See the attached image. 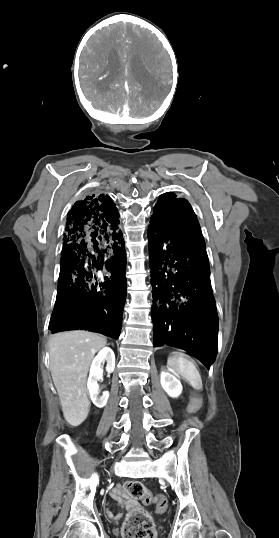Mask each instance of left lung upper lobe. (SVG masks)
I'll use <instances>...</instances> for the list:
<instances>
[{
    "label": "left lung upper lobe",
    "mask_w": 279,
    "mask_h": 538,
    "mask_svg": "<svg viewBox=\"0 0 279 538\" xmlns=\"http://www.w3.org/2000/svg\"><path fill=\"white\" fill-rule=\"evenodd\" d=\"M149 226L202 236L199 222L189 202L184 198H177L172 192L160 196L154 207L152 222Z\"/></svg>",
    "instance_id": "left-lung-upper-lobe-1"
}]
</instances>
